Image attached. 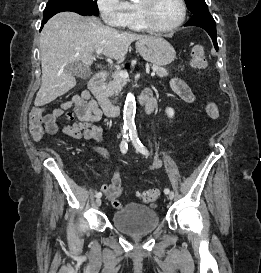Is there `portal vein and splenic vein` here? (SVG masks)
Wrapping results in <instances>:
<instances>
[{"mask_svg": "<svg viewBox=\"0 0 261 273\" xmlns=\"http://www.w3.org/2000/svg\"><path fill=\"white\" fill-rule=\"evenodd\" d=\"M97 54L100 55L102 52H103V48H100L98 49L97 51ZM118 72V75L122 78H125L127 79L129 77L128 73L126 71H123V70H120V71H117ZM155 75V72L153 71L151 73V76L153 77Z\"/></svg>", "mask_w": 261, "mask_h": 273, "instance_id": "portal-vein-and-splenic-vein-1", "label": "portal vein and splenic vein"}]
</instances>
